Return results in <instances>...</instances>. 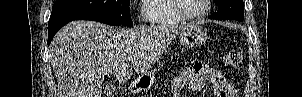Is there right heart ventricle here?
Wrapping results in <instances>:
<instances>
[{
    "label": "right heart ventricle",
    "mask_w": 302,
    "mask_h": 97,
    "mask_svg": "<svg viewBox=\"0 0 302 97\" xmlns=\"http://www.w3.org/2000/svg\"><path fill=\"white\" fill-rule=\"evenodd\" d=\"M146 14L150 22L159 27L175 26L183 22L173 11L171 0H148Z\"/></svg>",
    "instance_id": "obj_1"
}]
</instances>
